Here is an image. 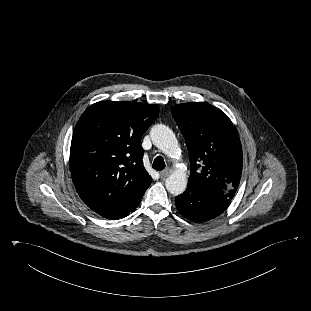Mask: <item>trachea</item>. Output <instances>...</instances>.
I'll return each mask as SVG.
<instances>
[{
	"label": "trachea",
	"instance_id": "trachea-1",
	"mask_svg": "<svg viewBox=\"0 0 311 311\" xmlns=\"http://www.w3.org/2000/svg\"><path fill=\"white\" fill-rule=\"evenodd\" d=\"M153 169L157 170V171H161L165 168V162L162 156H157L154 159L153 165H152Z\"/></svg>",
	"mask_w": 311,
	"mask_h": 311
}]
</instances>
